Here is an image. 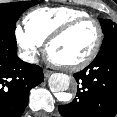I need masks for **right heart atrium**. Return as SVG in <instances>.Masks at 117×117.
Listing matches in <instances>:
<instances>
[{"label": "right heart atrium", "instance_id": "obj_1", "mask_svg": "<svg viewBox=\"0 0 117 117\" xmlns=\"http://www.w3.org/2000/svg\"><path fill=\"white\" fill-rule=\"evenodd\" d=\"M14 35L24 57L29 61H33L38 55L40 43L33 39L19 25L15 27Z\"/></svg>", "mask_w": 117, "mask_h": 117}]
</instances>
